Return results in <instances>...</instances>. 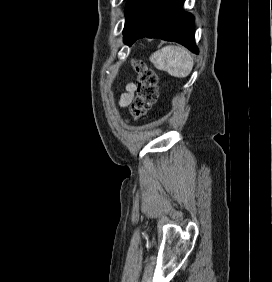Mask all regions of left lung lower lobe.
<instances>
[{"instance_id": "1", "label": "left lung lower lobe", "mask_w": 272, "mask_h": 282, "mask_svg": "<svg viewBox=\"0 0 272 282\" xmlns=\"http://www.w3.org/2000/svg\"><path fill=\"white\" fill-rule=\"evenodd\" d=\"M185 0H128L123 31L124 43L143 37L175 41L198 54L194 17L182 10Z\"/></svg>"}]
</instances>
